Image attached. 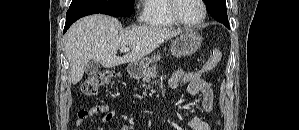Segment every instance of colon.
Here are the masks:
<instances>
[{"mask_svg": "<svg viewBox=\"0 0 299 130\" xmlns=\"http://www.w3.org/2000/svg\"><path fill=\"white\" fill-rule=\"evenodd\" d=\"M222 59V52L214 48L211 51L210 56L204 63V65L195 71H188L184 72L179 85L177 88L183 87V86H188L192 83H195L202 79L203 75L209 71H212L221 61ZM117 77V73L111 70H103L99 71L88 78L83 82L81 86V91L84 95L86 96H96L99 93L100 88L112 82L115 78ZM88 114L86 111H82L80 113V117L83 118Z\"/></svg>", "mask_w": 299, "mask_h": 130, "instance_id": "5ec220e1", "label": "colon"}]
</instances>
